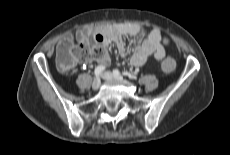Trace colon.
<instances>
[{
  "label": "colon",
  "mask_w": 230,
  "mask_h": 155,
  "mask_svg": "<svg viewBox=\"0 0 230 155\" xmlns=\"http://www.w3.org/2000/svg\"><path fill=\"white\" fill-rule=\"evenodd\" d=\"M104 54L101 45L89 46L87 44H70L61 41L56 52V64L63 72H69L76 63H88L99 59ZM177 62L173 56L167 55L161 59L160 69L164 73H171L176 68Z\"/></svg>",
  "instance_id": "5ec220e1"
}]
</instances>
